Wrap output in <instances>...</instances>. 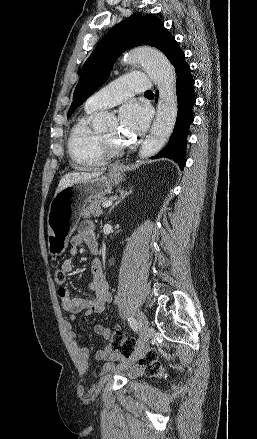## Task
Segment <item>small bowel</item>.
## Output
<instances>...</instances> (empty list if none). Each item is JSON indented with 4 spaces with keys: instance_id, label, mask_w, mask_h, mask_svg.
<instances>
[{
    "instance_id": "1",
    "label": "small bowel",
    "mask_w": 257,
    "mask_h": 439,
    "mask_svg": "<svg viewBox=\"0 0 257 439\" xmlns=\"http://www.w3.org/2000/svg\"><path fill=\"white\" fill-rule=\"evenodd\" d=\"M71 254L75 255L77 249L82 244H86L89 251L96 255L99 251V245L95 236V227L91 221H83L76 234L71 239ZM73 260L66 259L61 266V269L65 273H70L73 270ZM91 280L88 284L89 288L94 291V297L91 300H87L83 297L71 296L68 289L61 287L58 290L59 297L61 298L62 308L69 314V320L74 321L76 314L83 313L88 316L92 313L103 312L108 304L111 302V294L109 291V285L103 272V267L98 258H94L91 263ZM94 332L108 340L111 337L112 331L102 324L94 326ZM69 335L71 338H76V333L70 329ZM95 359L104 361L105 365L103 370L109 373H119L122 376L128 378H135L141 374V367L135 363L126 361L119 353L113 351L109 345L105 348L98 350L95 353ZM79 360L81 368L87 371L90 363V353L85 346L79 347ZM120 361L124 363V368L118 370L115 362Z\"/></svg>"
}]
</instances>
